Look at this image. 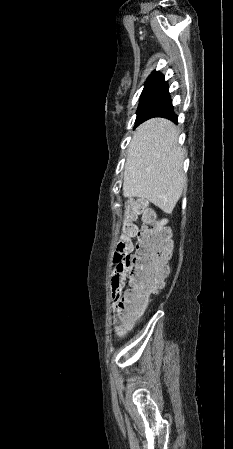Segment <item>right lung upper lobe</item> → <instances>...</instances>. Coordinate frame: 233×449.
<instances>
[{"instance_id": "cb5924a9", "label": "right lung upper lobe", "mask_w": 233, "mask_h": 449, "mask_svg": "<svg viewBox=\"0 0 233 449\" xmlns=\"http://www.w3.org/2000/svg\"><path fill=\"white\" fill-rule=\"evenodd\" d=\"M154 91H168V84L164 80V76L155 71L148 77L142 94Z\"/></svg>"}]
</instances>
